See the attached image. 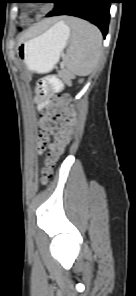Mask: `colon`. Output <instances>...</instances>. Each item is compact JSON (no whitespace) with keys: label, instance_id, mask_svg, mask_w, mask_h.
Segmentation results:
<instances>
[{"label":"colon","instance_id":"obj_1","mask_svg":"<svg viewBox=\"0 0 136 296\" xmlns=\"http://www.w3.org/2000/svg\"><path fill=\"white\" fill-rule=\"evenodd\" d=\"M52 81L53 78H47ZM74 125V110L70 96L63 93L51 98L46 107L41 127L37 133V145L41 152H46L43 175L52 174L56 163L64 152ZM56 130L55 133L53 131Z\"/></svg>","mask_w":136,"mask_h":296}]
</instances>
